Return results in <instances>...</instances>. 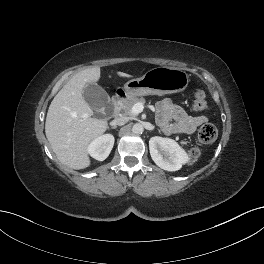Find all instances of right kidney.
Here are the masks:
<instances>
[{"label": "right kidney", "instance_id": "1", "mask_svg": "<svg viewBox=\"0 0 264 264\" xmlns=\"http://www.w3.org/2000/svg\"><path fill=\"white\" fill-rule=\"evenodd\" d=\"M114 136L111 134H104L96 139H94L89 145H88V153L93 157L94 159L98 161L105 160L114 145Z\"/></svg>", "mask_w": 264, "mask_h": 264}]
</instances>
